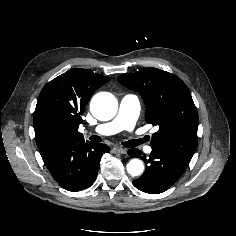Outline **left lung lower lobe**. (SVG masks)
Returning a JSON list of instances; mask_svg holds the SVG:
<instances>
[{
  "instance_id": "left-lung-lower-lobe-1",
  "label": "left lung lower lobe",
  "mask_w": 236,
  "mask_h": 236,
  "mask_svg": "<svg viewBox=\"0 0 236 236\" xmlns=\"http://www.w3.org/2000/svg\"><path fill=\"white\" fill-rule=\"evenodd\" d=\"M152 147L149 158L137 148L130 149L128 154L141 158L145 164V172L133 185L149 194H159L169 189L185 172L191 159L175 155L165 149Z\"/></svg>"
}]
</instances>
